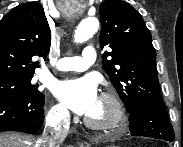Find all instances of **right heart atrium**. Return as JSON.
Listing matches in <instances>:
<instances>
[{"label": "right heart atrium", "instance_id": "obj_1", "mask_svg": "<svg viewBox=\"0 0 183 147\" xmlns=\"http://www.w3.org/2000/svg\"><path fill=\"white\" fill-rule=\"evenodd\" d=\"M47 119L54 126H65L69 120V113L63 105L54 104L47 112Z\"/></svg>", "mask_w": 183, "mask_h": 147}]
</instances>
